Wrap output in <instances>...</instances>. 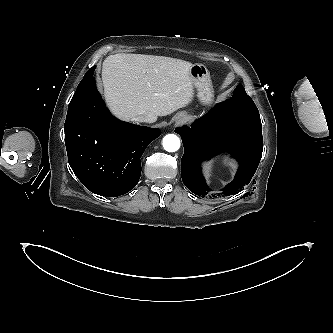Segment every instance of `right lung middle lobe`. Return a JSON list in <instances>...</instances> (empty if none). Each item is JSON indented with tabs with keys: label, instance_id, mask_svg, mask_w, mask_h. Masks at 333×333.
Returning a JSON list of instances; mask_svg holds the SVG:
<instances>
[{
	"label": "right lung middle lobe",
	"instance_id": "1",
	"mask_svg": "<svg viewBox=\"0 0 333 333\" xmlns=\"http://www.w3.org/2000/svg\"><path fill=\"white\" fill-rule=\"evenodd\" d=\"M95 68H96V66L92 67L91 69H89L86 72L83 79L79 83L74 96L72 97V99L70 101L69 107H71L74 104L79 103L81 95L87 89V87L90 85V82L94 80L93 73H94Z\"/></svg>",
	"mask_w": 333,
	"mask_h": 333
}]
</instances>
